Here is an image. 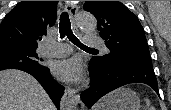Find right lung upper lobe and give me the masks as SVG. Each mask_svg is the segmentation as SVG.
<instances>
[{
	"label": "right lung upper lobe",
	"mask_w": 171,
	"mask_h": 110,
	"mask_svg": "<svg viewBox=\"0 0 171 110\" xmlns=\"http://www.w3.org/2000/svg\"><path fill=\"white\" fill-rule=\"evenodd\" d=\"M58 1H22L0 24V46L37 48L41 36L54 25Z\"/></svg>",
	"instance_id": "right-lung-upper-lobe-1"
}]
</instances>
